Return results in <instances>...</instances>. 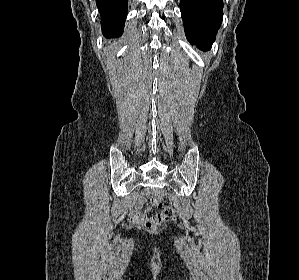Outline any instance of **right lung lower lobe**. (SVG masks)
I'll list each match as a JSON object with an SVG mask.
<instances>
[{
  "label": "right lung lower lobe",
  "mask_w": 299,
  "mask_h": 280,
  "mask_svg": "<svg viewBox=\"0 0 299 280\" xmlns=\"http://www.w3.org/2000/svg\"><path fill=\"white\" fill-rule=\"evenodd\" d=\"M101 15L102 32L107 38L119 37L127 16L128 0H96Z\"/></svg>",
  "instance_id": "1"
}]
</instances>
